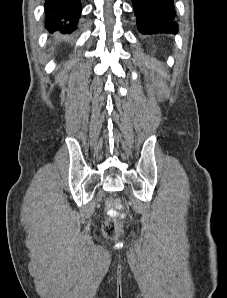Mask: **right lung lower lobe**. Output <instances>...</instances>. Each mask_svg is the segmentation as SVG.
Returning <instances> with one entry per match:
<instances>
[{
  "label": "right lung lower lobe",
  "mask_w": 227,
  "mask_h": 298,
  "mask_svg": "<svg viewBox=\"0 0 227 298\" xmlns=\"http://www.w3.org/2000/svg\"><path fill=\"white\" fill-rule=\"evenodd\" d=\"M46 27L50 32L71 33L81 13L80 0H45Z\"/></svg>",
  "instance_id": "1"
}]
</instances>
